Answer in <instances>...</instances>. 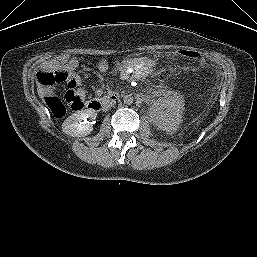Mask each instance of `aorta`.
I'll use <instances>...</instances> for the list:
<instances>
[{"label":"aorta","mask_w":257,"mask_h":257,"mask_svg":"<svg viewBox=\"0 0 257 257\" xmlns=\"http://www.w3.org/2000/svg\"><path fill=\"white\" fill-rule=\"evenodd\" d=\"M123 100H124V103H125L126 105H131V104L133 103V101H134L133 96H132L131 94L125 95V96L123 97Z\"/></svg>","instance_id":"1"}]
</instances>
